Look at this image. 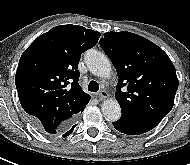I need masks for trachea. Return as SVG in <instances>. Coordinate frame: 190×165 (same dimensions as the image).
Here are the masks:
<instances>
[{
  "mask_svg": "<svg viewBox=\"0 0 190 165\" xmlns=\"http://www.w3.org/2000/svg\"><path fill=\"white\" fill-rule=\"evenodd\" d=\"M88 90L91 92H97L99 90V84L96 81H90Z\"/></svg>",
  "mask_w": 190,
  "mask_h": 165,
  "instance_id": "obj_1",
  "label": "trachea"
}]
</instances>
